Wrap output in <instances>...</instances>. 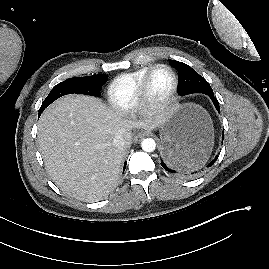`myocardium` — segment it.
Listing matches in <instances>:
<instances>
[{
	"label": "myocardium",
	"mask_w": 269,
	"mask_h": 269,
	"mask_svg": "<svg viewBox=\"0 0 269 269\" xmlns=\"http://www.w3.org/2000/svg\"><path fill=\"white\" fill-rule=\"evenodd\" d=\"M158 68L167 69L172 76V86L167 95L161 100H153L148 93V86L153 72ZM179 86L176 71L168 64L158 63L152 65L143 76L137 90V105L146 114H157L165 111L173 102Z\"/></svg>",
	"instance_id": "obj_1"
}]
</instances>
